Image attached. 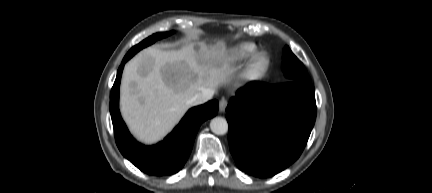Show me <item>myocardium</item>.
<instances>
[{
  "mask_svg": "<svg viewBox=\"0 0 432 193\" xmlns=\"http://www.w3.org/2000/svg\"><path fill=\"white\" fill-rule=\"evenodd\" d=\"M270 65V57L265 51L256 52L246 68L243 71L242 77L246 81H256L262 79L268 71Z\"/></svg>",
  "mask_w": 432,
  "mask_h": 193,
  "instance_id": "1",
  "label": "myocardium"
}]
</instances>
